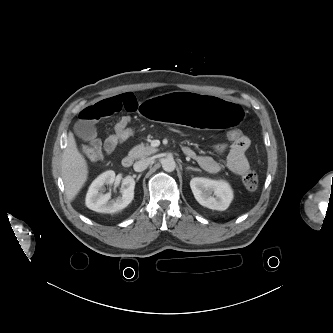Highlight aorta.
I'll list each match as a JSON object with an SVG mask.
<instances>
[{
    "label": "aorta",
    "instance_id": "aorta-1",
    "mask_svg": "<svg viewBox=\"0 0 333 333\" xmlns=\"http://www.w3.org/2000/svg\"><path fill=\"white\" fill-rule=\"evenodd\" d=\"M162 168L166 172H172L176 168V163L173 158H165L162 160Z\"/></svg>",
    "mask_w": 333,
    "mask_h": 333
}]
</instances>
